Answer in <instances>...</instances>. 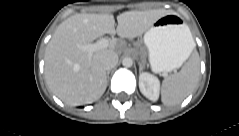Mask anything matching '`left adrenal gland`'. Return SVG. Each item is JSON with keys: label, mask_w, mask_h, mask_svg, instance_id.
Wrapping results in <instances>:
<instances>
[{"label": "left adrenal gland", "mask_w": 239, "mask_h": 136, "mask_svg": "<svg viewBox=\"0 0 239 136\" xmlns=\"http://www.w3.org/2000/svg\"><path fill=\"white\" fill-rule=\"evenodd\" d=\"M138 64H139V72H141V70H142L143 67H144V64H143L142 62H139Z\"/></svg>", "instance_id": "a2214340"}]
</instances>
